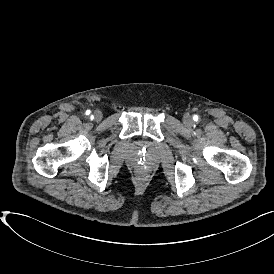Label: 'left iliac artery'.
I'll list each match as a JSON object with an SVG mask.
<instances>
[{
	"mask_svg": "<svg viewBox=\"0 0 274 274\" xmlns=\"http://www.w3.org/2000/svg\"><path fill=\"white\" fill-rule=\"evenodd\" d=\"M198 119H199V118H198V115H194V116H193V120H194V121H198Z\"/></svg>",
	"mask_w": 274,
	"mask_h": 274,
	"instance_id": "obj_1",
	"label": "left iliac artery"
}]
</instances>
